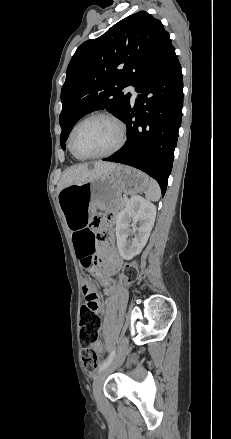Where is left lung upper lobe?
Here are the masks:
<instances>
[{"mask_svg":"<svg viewBox=\"0 0 231 439\" xmlns=\"http://www.w3.org/2000/svg\"><path fill=\"white\" fill-rule=\"evenodd\" d=\"M171 46L161 21L145 11L82 43L68 65L61 91V147L65 149L75 123L92 111L107 109L120 119L131 97L122 90L135 86Z\"/></svg>","mask_w":231,"mask_h":439,"instance_id":"left-lung-upper-lobe-1","label":"left lung upper lobe"}]
</instances>
